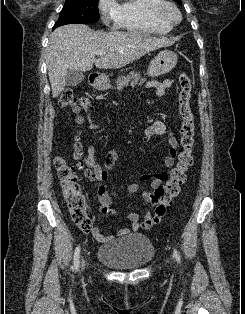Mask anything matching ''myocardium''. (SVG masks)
<instances>
[{"label": "myocardium", "instance_id": "1", "mask_svg": "<svg viewBox=\"0 0 245 314\" xmlns=\"http://www.w3.org/2000/svg\"><path fill=\"white\" fill-rule=\"evenodd\" d=\"M157 18L170 23L177 24L181 21L182 15L179 8L171 1L162 0V2L154 9Z\"/></svg>", "mask_w": 245, "mask_h": 314}]
</instances>
